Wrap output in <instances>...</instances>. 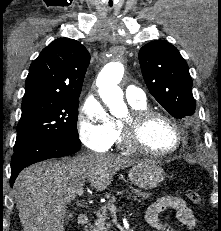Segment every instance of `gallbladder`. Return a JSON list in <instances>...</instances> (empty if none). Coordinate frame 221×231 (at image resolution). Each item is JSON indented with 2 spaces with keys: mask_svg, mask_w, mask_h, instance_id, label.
<instances>
[{
  "mask_svg": "<svg viewBox=\"0 0 221 231\" xmlns=\"http://www.w3.org/2000/svg\"><path fill=\"white\" fill-rule=\"evenodd\" d=\"M73 218H74V216H73L72 213H68V214L66 215V220H73Z\"/></svg>",
  "mask_w": 221,
  "mask_h": 231,
  "instance_id": "1",
  "label": "gallbladder"
}]
</instances>
